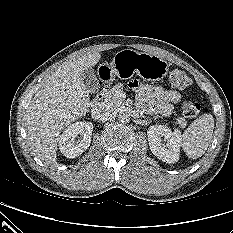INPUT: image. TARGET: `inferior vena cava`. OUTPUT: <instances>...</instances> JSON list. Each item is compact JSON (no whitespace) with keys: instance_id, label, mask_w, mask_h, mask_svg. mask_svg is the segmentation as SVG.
I'll return each instance as SVG.
<instances>
[{"instance_id":"obj_1","label":"inferior vena cava","mask_w":233,"mask_h":233,"mask_svg":"<svg viewBox=\"0 0 233 233\" xmlns=\"http://www.w3.org/2000/svg\"><path fill=\"white\" fill-rule=\"evenodd\" d=\"M113 109L105 102L99 103L91 110V116L93 119L103 121L111 117Z\"/></svg>"}]
</instances>
